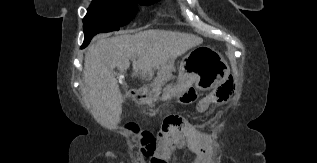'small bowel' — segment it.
Here are the masks:
<instances>
[{"instance_id":"1","label":"small bowel","mask_w":317,"mask_h":163,"mask_svg":"<svg viewBox=\"0 0 317 163\" xmlns=\"http://www.w3.org/2000/svg\"><path fill=\"white\" fill-rule=\"evenodd\" d=\"M159 152L150 163L177 162V151L189 150L194 158L191 163H209L210 153L201 144L194 127L181 117H167L158 131Z\"/></svg>"}]
</instances>
